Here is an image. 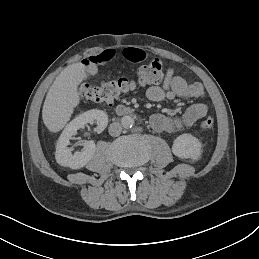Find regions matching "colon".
Masks as SVG:
<instances>
[{"label":"colon","mask_w":259,"mask_h":259,"mask_svg":"<svg viewBox=\"0 0 259 259\" xmlns=\"http://www.w3.org/2000/svg\"><path fill=\"white\" fill-rule=\"evenodd\" d=\"M164 80L163 67L159 59H154L141 66L136 79L119 78L104 81L99 84L84 83L80 86L81 95L89 102L97 104H111L122 94L136 87L155 86ZM214 124L211 115H207L199 121L202 130L210 129Z\"/></svg>","instance_id":"5ec220e1"}]
</instances>
